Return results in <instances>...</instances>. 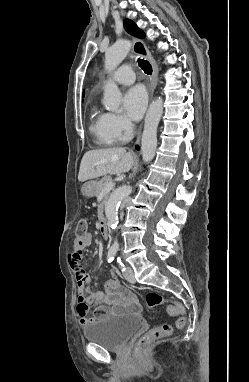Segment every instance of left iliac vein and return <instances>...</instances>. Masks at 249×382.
Here are the masks:
<instances>
[{"instance_id": "4c4485c4", "label": "left iliac vein", "mask_w": 249, "mask_h": 382, "mask_svg": "<svg viewBox=\"0 0 249 382\" xmlns=\"http://www.w3.org/2000/svg\"><path fill=\"white\" fill-rule=\"evenodd\" d=\"M123 276H124V278H125L128 282H130V283H134V282H135L132 268L127 267V269H126L125 272L123 273Z\"/></svg>"}]
</instances>
